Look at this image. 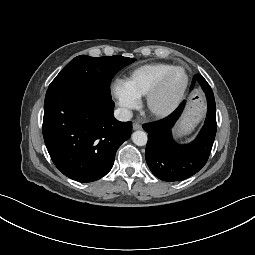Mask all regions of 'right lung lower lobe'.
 I'll list each match as a JSON object with an SVG mask.
<instances>
[{
  "instance_id": "98d812e1",
  "label": "right lung lower lobe",
  "mask_w": 255,
  "mask_h": 255,
  "mask_svg": "<svg viewBox=\"0 0 255 255\" xmlns=\"http://www.w3.org/2000/svg\"><path fill=\"white\" fill-rule=\"evenodd\" d=\"M113 111L111 97L93 88L47 90L43 137L60 172L79 182H92L111 170L117 149L132 131V123L116 120Z\"/></svg>"
}]
</instances>
